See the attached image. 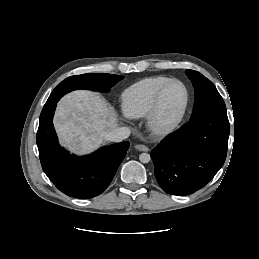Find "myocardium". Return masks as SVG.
I'll return each instance as SVG.
<instances>
[{
	"instance_id": "obj_1",
	"label": "myocardium",
	"mask_w": 259,
	"mask_h": 259,
	"mask_svg": "<svg viewBox=\"0 0 259 259\" xmlns=\"http://www.w3.org/2000/svg\"><path fill=\"white\" fill-rule=\"evenodd\" d=\"M171 83H178L180 84L185 91V101L184 104L179 112V114L174 118L172 121L168 123H163L159 119V112H160V104H161V98L164 90L168 85ZM190 103V92L187 87V85L181 81L180 79L176 78H170L167 81H165L156 91L153 102L151 105V108L146 115V122H147V127L150 130V132L154 135L157 136H165L170 133H172L183 121L186 112L188 110Z\"/></svg>"
}]
</instances>
